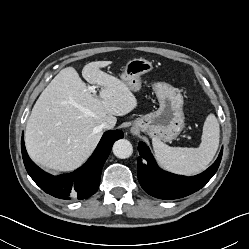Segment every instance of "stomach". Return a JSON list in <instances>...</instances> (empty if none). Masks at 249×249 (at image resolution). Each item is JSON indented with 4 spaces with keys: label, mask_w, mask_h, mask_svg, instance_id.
Listing matches in <instances>:
<instances>
[{
    "label": "stomach",
    "mask_w": 249,
    "mask_h": 249,
    "mask_svg": "<svg viewBox=\"0 0 249 249\" xmlns=\"http://www.w3.org/2000/svg\"><path fill=\"white\" fill-rule=\"evenodd\" d=\"M153 70L152 62L144 58L129 60L123 68L121 79L132 91L141 88V76ZM159 102L156 111L137 118L131 127L134 133L146 132L150 137L164 142L175 139L184 128L183 97L165 82L153 84Z\"/></svg>",
    "instance_id": "stomach-1"
}]
</instances>
